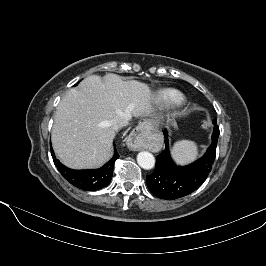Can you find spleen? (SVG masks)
<instances>
[{
	"mask_svg": "<svg viewBox=\"0 0 266 266\" xmlns=\"http://www.w3.org/2000/svg\"><path fill=\"white\" fill-rule=\"evenodd\" d=\"M175 160L180 164H185L194 160L198 155L197 145L189 140L178 141L172 149Z\"/></svg>",
	"mask_w": 266,
	"mask_h": 266,
	"instance_id": "obj_1",
	"label": "spleen"
}]
</instances>
